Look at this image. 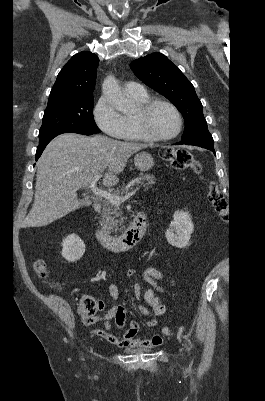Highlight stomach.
Returning <instances> with one entry per match:
<instances>
[{"label": "stomach", "mask_w": 265, "mask_h": 401, "mask_svg": "<svg viewBox=\"0 0 265 401\" xmlns=\"http://www.w3.org/2000/svg\"><path fill=\"white\" fill-rule=\"evenodd\" d=\"M138 170H149L154 164V158L149 152H138L134 158Z\"/></svg>", "instance_id": "obj_1"}]
</instances>
